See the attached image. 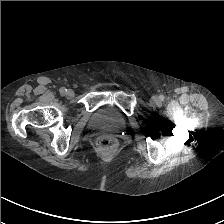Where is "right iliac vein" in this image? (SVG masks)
Here are the masks:
<instances>
[{
	"instance_id": "63e3f726",
	"label": "right iliac vein",
	"mask_w": 224,
	"mask_h": 224,
	"mask_svg": "<svg viewBox=\"0 0 224 224\" xmlns=\"http://www.w3.org/2000/svg\"><path fill=\"white\" fill-rule=\"evenodd\" d=\"M66 96H67L68 98H72V97H74V91H73L72 89L67 90V92H66Z\"/></svg>"
}]
</instances>
